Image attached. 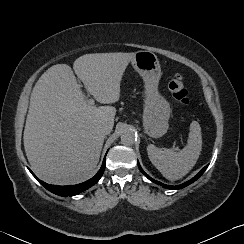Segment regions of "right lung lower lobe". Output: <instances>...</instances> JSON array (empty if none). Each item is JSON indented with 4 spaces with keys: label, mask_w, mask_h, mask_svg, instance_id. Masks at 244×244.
<instances>
[{
    "label": "right lung lower lobe",
    "mask_w": 244,
    "mask_h": 244,
    "mask_svg": "<svg viewBox=\"0 0 244 244\" xmlns=\"http://www.w3.org/2000/svg\"><path fill=\"white\" fill-rule=\"evenodd\" d=\"M105 158H106V156L104 157L100 170L94 177H92L88 181H85V182L77 184V185H72V186H57V185L47 184V183L39 180L38 178H36V176L30 169H29V171L50 192H52L56 195H59V196H63V197L74 196V195H77L80 192H83L86 189L90 188L91 186H93L100 180V178L102 177L104 170H105Z\"/></svg>",
    "instance_id": "1"
}]
</instances>
